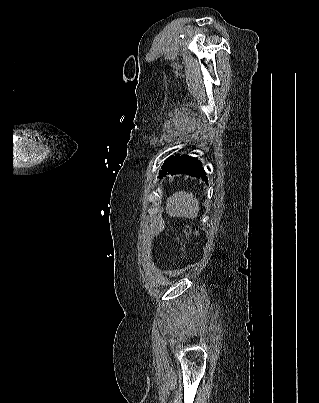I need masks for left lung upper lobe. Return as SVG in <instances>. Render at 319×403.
<instances>
[{
  "label": "left lung upper lobe",
  "instance_id": "1",
  "mask_svg": "<svg viewBox=\"0 0 319 403\" xmlns=\"http://www.w3.org/2000/svg\"><path fill=\"white\" fill-rule=\"evenodd\" d=\"M172 157H173V156L169 157V158L165 161L164 165L162 166V170L159 172V177L162 175V173L164 172V170L166 169V167H167L168 164L170 163Z\"/></svg>",
  "mask_w": 319,
  "mask_h": 403
}]
</instances>
